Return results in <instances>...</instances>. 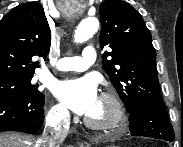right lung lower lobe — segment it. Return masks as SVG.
<instances>
[{"label":"right lung lower lobe","mask_w":183,"mask_h":147,"mask_svg":"<svg viewBox=\"0 0 183 147\" xmlns=\"http://www.w3.org/2000/svg\"><path fill=\"white\" fill-rule=\"evenodd\" d=\"M43 105L41 93L0 95V132H37L43 124Z\"/></svg>","instance_id":"obj_1"}]
</instances>
